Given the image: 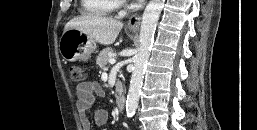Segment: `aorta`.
<instances>
[{"label":"aorta","mask_w":257,"mask_h":130,"mask_svg":"<svg viewBox=\"0 0 257 130\" xmlns=\"http://www.w3.org/2000/svg\"><path fill=\"white\" fill-rule=\"evenodd\" d=\"M164 2V0H150L143 13L139 36L140 46L134 58V68L126 100V114L129 118L135 114L138 107L156 24L164 7Z\"/></svg>","instance_id":"762f6f07"}]
</instances>
